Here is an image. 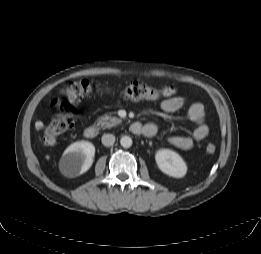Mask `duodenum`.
I'll return each instance as SVG.
<instances>
[{
	"mask_svg": "<svg viewBox=\"0 0 261 254\" xmlns=\"http://www.w3.org/2000/svg\"><path fill=\"white\" fill-rule=\"evenodd\" d=\"M131 131L135 134H144L145 128L139 122H134L131 125ZM84 135L88 139H93L98 135V128L95 126H88L84 130Z\"/></svg>",
	"mask_w": 261,
	"mask_h": 254,
	"instance_id": "duodenum-1",
	"label": "duodenum"
}]
</instances>
